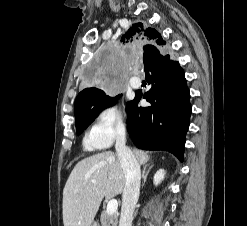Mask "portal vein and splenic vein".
<instances>
[{
  "mask_svg": "<svg viewBox=\"0 0 247 226\" xmlns=\"http://www.w3.org/2000/svg\"><path fill=\"white\" fill-rule=\"evenodd\" d=\"M92 182H96V181L95 180H92ZM117 209H118V202H117V200L116 199L110 200L108 202V204H107L106 212L108 214H114V213H116Z\"/></svg>",
  "mask_w": 247,
  "mask_h": 226,
  "instance_id": "1",
  "label": "portal vein and splenic vein"
}]
</instances>
